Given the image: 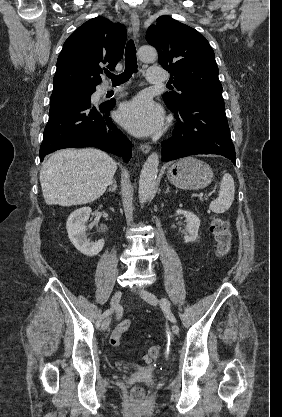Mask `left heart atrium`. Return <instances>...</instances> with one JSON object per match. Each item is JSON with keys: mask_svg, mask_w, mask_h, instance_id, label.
<instances>
[{"mask_svg": "<svg viewBox=\"0 0 282 417\" xmlns=\"http://www.w3.org/2000/svg\"><path fill=\"white\" fill-rule=\"evenodd\" d=\"M120 121L131 131L148 134L157 131L162 126L163 113L146 96L136 97L122 106L119 111Z\"/></svg>", "mask_w": 282, "mask_h": 417, "instance_id": "left-heart-atrium-1", "label": "left heart atrium"}]
</instances>
